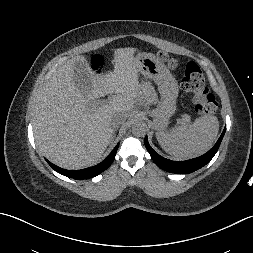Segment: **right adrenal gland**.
Wrapping results in <instances>:
<instances>
[{"instance_id":"2a0ac1e0","label":"right adrenal gland","mask_w":253,"mask_h":253,"mask_svg":"<svg viewBox=\"0 0 253 253\" xmlns=\"http://www.w3.org/2000/svg\"><path fill=\"white\" fill-rule=\"evenodd\" d=\"M115 136H116V129L113 132V137L112 138H114Z\"/></svg>"}]
</instances>
